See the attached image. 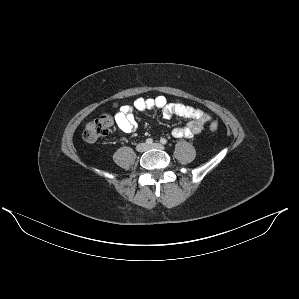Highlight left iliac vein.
Masks as SVG:
<instances>
[{"instance_id": "obj_1", "label": "left iliac vein", "mask_w": 299, "mask_h": 299, "mask_svg": "<svg viewBox=\"0 0 299 299\" xmlns=\"http://www.w3.org/2000/svg\"><path fill=\"white\" fill-rule=\"evenodd\" d=\"M147 149H161V150H163L164 146L160 143H153L151 145H148Z\"/></svg>"}]
</instances>
